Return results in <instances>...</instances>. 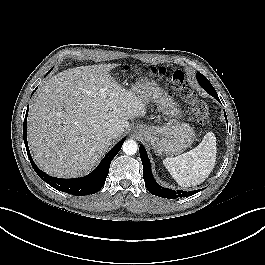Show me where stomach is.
I'll list each match as a JSON object with an SVG mask.
<instances>
[{"instance_id":"stomach-1","label":"stomach","mask_w":265,"mask_h":265,"mask_svg":"<svg viewBox=\"0 0 265 265\" xmlns=\"http://www.w3.org/2000/svg\"><path fill=\"white\" fill-rule=\"evenodd\" d=\"M132 91L144 104L154 102L167 119L162 126L136 127L138 133L151 143L157 155L172 156L191 146L196 137L194 128L180 121L183 116L181 108L156 81L140 76L136 79Z\"/></svg>"}]
</instances>
